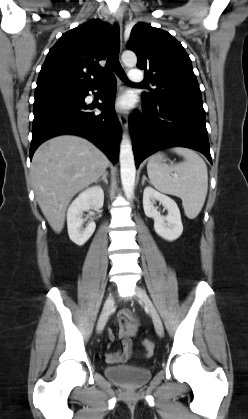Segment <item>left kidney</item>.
Wrapping results in <instances>:
<instances>
[{
    "instance_id": "5707ae66",
    "label": "left kidney",
    "mask_w": 248,
    "mask_h": 419,
    "mask_svg": "<svg viewBox=\"0 0 248 419\" xmlns=\"http://www.w3.org/2000/svg\"><path fill=\"white\" fill-rule=\"evenodd\" d=\"M156 201L162 203L167 209L166 217L161 216L154 206ZM143 208L145 215L154 219V230L160 237L168 241H174L180 237L183 231L181 214L173 199L147 186L143 192Z\"/></svg>"
}]
</instances>
